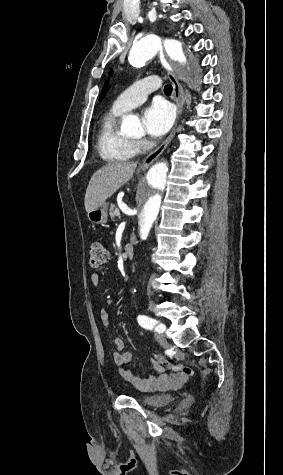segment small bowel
Wrapping results in <instances>:
<instances>
[{"label": "small bowel", "mask_w": 283, "mask_h": 475, "mask_svg": "<svg viewBox=\"0 0 283 475\" xmlns=\"http://www.w3.org/2000/svg\"><path fill=\"white\" fill-rule=\"evenodd\" d=\"M101 278L98 273H92L90 275V283L93 287H98L100 285ZM99 320L102 326L107 329L110 323V313L107 309H100L99 311ZM112 343L116 348V351L113 353L112 360L116 366H124L132 363L134 361V354L131 352H123L125 343L122 338L114 337ZM155 369V368H154ZM157 374L150 375L146 377L136 376L131 370L123 369L121 370V376L124 380L130 382L135 388L141 389L146 386H156L165 384L169 387H178L184 383L183 377L178 374H167L164 372L163 368L155 369Z\"/></svg>", "instance_id": "small-bowel-1"}]
</instances>
